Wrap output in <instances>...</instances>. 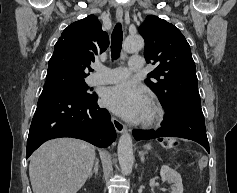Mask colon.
<instances>
[{"label":"colon","instance_id":"obj_1","mask_svg":"<svg viewBox=\"0 0 237 193\" xmlns=\"http://www.w3.org/2000/svg\"><path fill=\"white\" fill-rule=\"evenodd\" d=\"M177 140L176 139H167L165 140L164 144L167 146V147H175L177 145ZM207 164H208V160L206 157L202 156L198 159V170L200 172H203L206 167H207Z\"/></svg>","mask_w":237,"mask_h":193}]
</instances>
